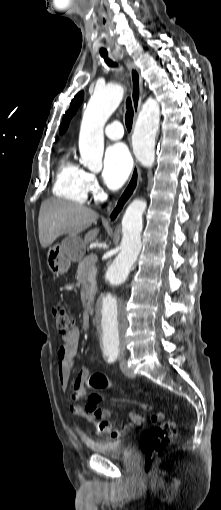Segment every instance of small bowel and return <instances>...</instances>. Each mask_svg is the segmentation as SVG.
Returning a JSON list of instances; mask_svg holds the SVG:
<instances>
[{"mask_svg":"<svg viewBox=\"0 0 221 510\" xmlns=\"http://www.w3.org/2000/svg\"><path fill=\"white\" fill-rule=\"evenodd\" d=\"M80 340V331L78 328H73L64 338L63 344L57 351V373L58 381L63 390H67L69 386V380L73 364L78 352V345ZM95 366L93 364H87L78 373L74 383L73 391L74 396L79 398L85 396L91 389L88 386V378L94 372ZM143 409L148 410L149 406L146 404L142 405ZM71 411L74 415L88 419L86 406L73 405ZM130 418L135 424H140L145 421V418L134 411L129 413ZM133 427V424H126L119 429L113 430L110 424L105 421L104 428L98 429L99 432L108 433L110 440H116L127 434Z\"/></svg>","mask_w":221,"mask_h":510,"instance_id":"c3829d8e","label":"small bowel"}]
</instances>
